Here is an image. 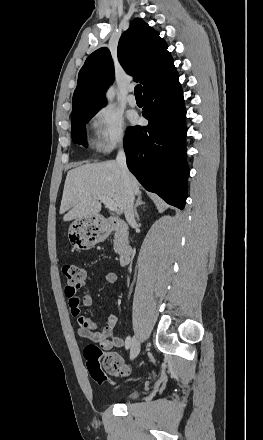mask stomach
<instances>
[{
	"label": "stomach",
	"instance_id": "stomach-1",
	"mask_svg": "<svg viewBox=\"0 0 263 440\" xmlns=\"http://www.w3.org/2000/svg\"><path fill=\"white\" fill-rule=\"evenodd\" d=\"M68 237L77 249H89L104 235L98 230L97 220L92 216L75 219L69 227Z\"/></svg>",
	"mask_w": 263,
	"mask_h": 440
}]
</instances>
